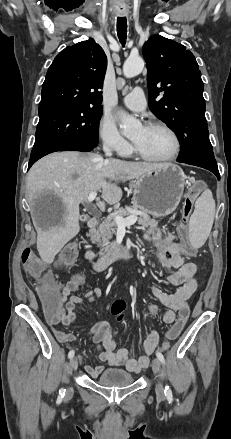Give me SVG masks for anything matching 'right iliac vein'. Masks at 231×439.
<instances>
[{"label": "right iliac vein", "instance_id": "obj_1", "mask_svg": "<svg viewBox=\"0 0 231 439\" xmlns=\"http://www.w3.org/2000/svg\"><path fill=\"white\" fill-rule=\"evenodd\" d=\"M69 366H70V369H71L72 371H75V370L77 369V367H78V361H77V358H76V357H72V358H71L70 363H69ZM72 391H73L72 387H69L68 390H67V394H71Z\"/></svg>", "mask_w": 231, "mask_h": 439}]
</instances>
